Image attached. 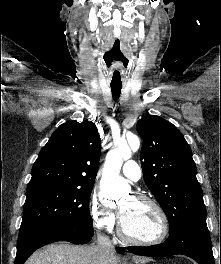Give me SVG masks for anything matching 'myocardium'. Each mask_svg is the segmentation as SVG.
<instances>
[{
    "label": "myocardium",
    "instance_id": "1",
    "mask_svg": "<svg viewBox=\"0 0 221 264\" xmlns=\"http://www.w3.org/2000/svg\"><path fill=\"white\" fill-rule=\"evenodd\" d=\"M133 198L139 202H145L154 207V209L156 210V212L158 213L161 219V224H162L161 233L156 239H153V240L144 241V240L134 239L126 233V231L123 228L121 219H120L119 225H118V233H119L120 238L125 243L137 245V246L148 247V246H156V245L163 243L167 239L169 235V231H170L169 219H168V216L165 210L155 199L147 195L139 194V195H135Z\"/></svg>",
    "mask_w": 221,
    "mask_h": 264
}]
</instances>
